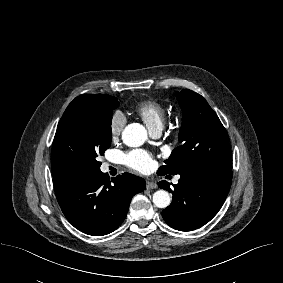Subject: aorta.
I'll return each instance as SVG.
<instances>
[{
  "mask_svg": "<svg viewBox=\"0 0 283 283\" xmlns=\"http://www.w3.org/2000/svg\"><path fill=\"white\" fill-rule=\"evenodd\" d=\"M147 139L145 127L139 123H132L125 127L122 132V140L129 147H139ZM171 202L169 193L165 190H158L153 194V203L158 208H166Z\"/></svg>",
  "mask_w": 283,
  "mask_h": 283,
  "instance_id": "obj_1",
  "label": "aorta"
}]
</instances>
